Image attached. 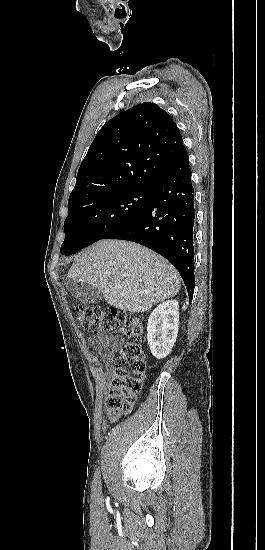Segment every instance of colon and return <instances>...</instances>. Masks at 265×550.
<instances>
[{"label": "colon", "instance_id": "5ec220e1", "mask_svg": "<svg viewBox=\"0 0 265 550\" xmlns=\"http://www.w3.org/2000/svg\"><path fill=\"white\" fill-rule=\"evenodd\" d=\"M75 310L83 329L95 333L124 334L125 344L115 360V377L107 396L106 406L111 420L132 411L141 392L145 373L143 319L132 312L76 303Z\"/></svg>", "mask_w": 265, "mask_h": 550}]
</instances>
